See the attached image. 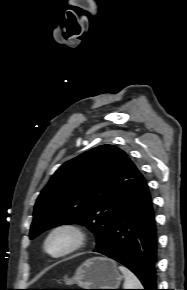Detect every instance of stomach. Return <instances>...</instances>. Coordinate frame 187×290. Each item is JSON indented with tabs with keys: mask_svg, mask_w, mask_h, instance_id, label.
Listing matches in <instances>:
<instances>
[{
	"mask_svg": "<svg viewBox=\"0 0 187 290\" xmlns=\"http://www.w3.org/2000/svg\"><path fill=\"white\" fill-rule=\"evenodd\" d=\"M122 278L114 261L93 257L82 263L66 283L77 284L81 289H118Z\"/></svg>",
	"mask_w": 187,
	"mask_h": 290,
	"instance_id": "0dacf381",
	"label": "stomach"
}]
</instances>
